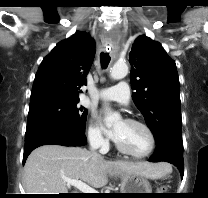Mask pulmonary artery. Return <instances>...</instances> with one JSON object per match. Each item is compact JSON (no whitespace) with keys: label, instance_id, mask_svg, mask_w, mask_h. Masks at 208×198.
<instances>
[{"label":"pulmonary artery","instance_id":"1","mask_svg":"<svg viewBox=\"0 0 208 198\" xmlns=\"http://www.w3.org/2000/svg\"><path fill=\"white\" fill-rule=\"evenodd\" d=\"M97 98L126 105L130 101V89L126 82H120L113 87L100 90L97 94Z\"/></svg>","mask_w":208,"mask_h":198}]
</instances>
